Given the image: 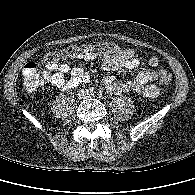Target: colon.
Returning <instances> with one entry per match:
<instances>
[{"label":"colon","mask_w":195,"mask_h":195,"mask_svg":"<svg viewBox=\"0 0 195 195\" xmlns=\"http://www.w3.org/2000/svg\"><path fill=\"white\" fill-rule=\"evenodd\" d=\"M120 48L113 42H92L85 45L69 46L58 51H54L45 55L40 63H27L23 69V84L24 88L32 92L45 84L48 81V73L40 68L41 65L51 67L57 65L62 60L76 57L79 54L93 53V54H110L115 53ZM172 74L165 72L160 76V84L167 86L172 82Z\"/></svg>","instance_id":"5ec220e1"}]
</instances>
